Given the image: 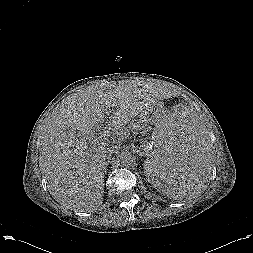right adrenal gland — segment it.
I'll list each match as a JSON object with an SVG mask.
<instances>
[{
	"label": "right adrenal gland",
	"instance_id": "obj_1",
	"mask_svg": "<svg viewBox=\"0 0 253 253\" xmlns=\"http://www.w3.org/2000/svg\"><path fill=\"white\" fill-rule=\"evenodd\" d=\"M110 159H111V156L107 158V161L104 163V173L106 174L107 172V166L109 165L110 163Z\"/></svg>",
	"mask_w": 253,
	"mask_h": 253
}]
</instances>
